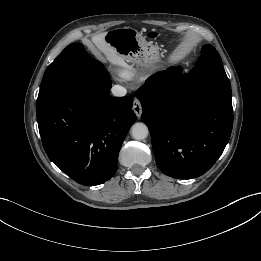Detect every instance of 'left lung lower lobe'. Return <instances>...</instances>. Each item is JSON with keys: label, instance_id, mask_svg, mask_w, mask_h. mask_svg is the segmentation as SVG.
<instances>
[{"label": "left lung lower lobe", "instance_id": "0a47b994", "mask_svg": "<svg viewBox=\"0 0 261 261\" xmlns=\"http://www.w3.org/2000/svg\"><path fill=\"white\" fill-rule=\"evenodd\" d=\"M156 163L173 178L207 172L227 145L233 124L232 93L223 67L172 66L138 90Z\"/></svg>", "mask_w": 261, "mask_h": 261}]
</instances>
